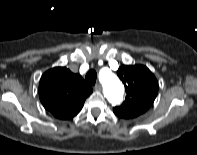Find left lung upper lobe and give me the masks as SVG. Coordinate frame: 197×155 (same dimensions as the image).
Returning a JSON list of instances; mask_svg holds the SVG:
<instances>
[{
  "mask_svg": "<svg viewBox=\"0 0 197 155\" xmlns=\"http://www.w3.org/2000/svg\"><path fill=\"white\" fill-rule=\"evenodd\" d=\"M117 75L125 85L127 96L121 106L113 107V112L124 119L143 114L158 93V82L154 74L143 65H123Z\"/></svg>",
  "mask_w": 197,
  "mask_h": 155,
  "instance_id": "1",
  "label": "left lung upper lobe"
}]
</instances>
